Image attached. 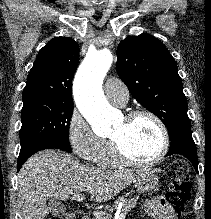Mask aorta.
Wrapping results in <instances>:
<instances>
[{"instance_id": "aorta-1", "label": "aorta", "mask_w": 211, "mask_h": 219, "mask_svg": "<svg viewBox=\"0 0 211 219\" xmlns=\"http://www.w3.org/2000/svg\"><path fill=\"white\" fill-rule=\"evenodd\" d=\"M112 61L108 49L89 52L78 68L73 85L79 111L91 124L94 133L101 137L112 133V124L117 117L102 90L103 79Z\"/></svg>"}]
</instances>
